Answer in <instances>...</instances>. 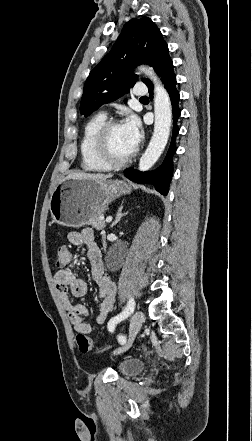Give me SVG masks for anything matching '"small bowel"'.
Returning a JSON list of instances; mask_svg holds the SVG:
<instances>
[{"mask_svg": "<svg viewBox=\"0 0 252 441\" xmlns=\"http://www.w3.org/2000/svg\"><path fill=\"white\" fill-rule=\"evenodd\" d=\"M68 241L73 245H86L88 248V259L91 265V275L99 288V313L96 321L102 324L107 315L112 311L116 284L105 272L101 250L96 242L95 232L91 228L82 231H71L68 234ZM55 284L62 304L64 305L71 324L77 332L89 334L92 327L85 323L88 310L84 305L73 304L71 297H82L87 293L86 282L69 269L58 270L55 274Z\"/></svg>", "mask_w": 252, "mask_h": 441, "instance_id": "obj_1", "label": "small bowel"}]
</instances>
